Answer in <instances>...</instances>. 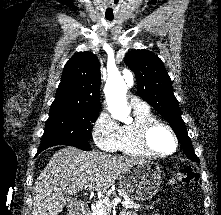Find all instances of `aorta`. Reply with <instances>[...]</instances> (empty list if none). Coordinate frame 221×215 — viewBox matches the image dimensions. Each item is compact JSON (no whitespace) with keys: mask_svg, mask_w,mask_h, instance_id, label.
Here are the masks:
<instances>
[{"mask_svg":"<svg viewBox=\"0 0 221 215\" xmlns=\"http://www.w3.org/2000/svg\"><path fill=\"white\" fill-rule=\"evenodd\" d=\"M133 85V79L125 81L120 73L109 75L105 84L104 93L108 110L114 119L124 123L132 121L130 107L127 105L126 93Z\"/></svg>","mask_w":221,"mask_h":215,"instance_id":"1","label":"aorta"}]
</instances>
